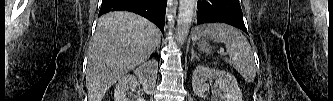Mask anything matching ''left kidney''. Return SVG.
<instances>
[{"label": "left kidney", "instance_id": "left-kidney-1", "mask_svg": "<svg viewBox=\"0 0 333 101\" xmlns=\"http://www.w3.org/2000/svg\"><path fill=\"white\" fill-rule=\"evenodd\" d=\"M215 79L216 86L224 93L221 101H242V92L238 87L237 79L227 71L197 66L192 75V88L198 97H205L210 89L208 80Z\"/></svg>", "mask_w": 333, "mask_h": 101}]
</instances>
